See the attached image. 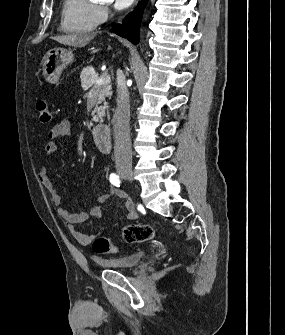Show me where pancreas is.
I'll use <instances>...</instances> for the list:
<instances>
[{
	"label": "pancreas",
	"instance_id": "pancreas-1",
	"mask_svg": "<svg viewBox=\"0 0 285 335\" xmlns=\"http://www.w3.org/2000/svg\"><path fill=\"white\" fill-rule=\"evenodd\" d=\"M89 71H83L81 75V88L82 90H95L96 84L93 83L94 81H97L98 76L94 72V68L90 66L88 68ZM99 96H98V102L97 104H102V102H105V98H109V96H112L111 88L109 86H99ZM108 108V104H104V106L96 105L94 107V110L91 114L92 124L93 125H99L101 122H103V117L105 114V110Z\"/></svg>",
	"mask_w": 285,
	"mask_h": 335
}]
</instances>
